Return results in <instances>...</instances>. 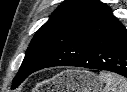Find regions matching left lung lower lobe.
<instances>
[{
    "mask_svg": "<svg viewBox=\"0 0 127 92\" xmlns=\"http://www.w3.org/2000/svg\"><path fill=\"white\" fill-rule=\"evenodd\" d=\"M54 66L102 69L127 78V30L110 14L54 51L35 71Z\"/></svg>",
    "mask_w": 127,
    "mask_h": 92,
    "instance_id": "0a47b994",
    "label": "left lung lower lobe"
}]
</instances>
